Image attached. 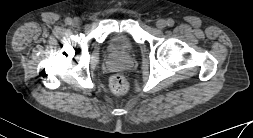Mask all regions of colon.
Listing matches in <instances>:
<instances>
[{
    "label": "colon",
    "instance_id": "obj_1",
    "mask_svg": "<svg viewBox=\"0 0 253 138\" xmlns=\"http://www.w3.org/2000/svg\"><path fill=\"white\" fill-rule=\"evenodd\" d=\"M110 89L117 96L125 95L129 89L127 79L122 74H115L110 78Z\"/></svg>",
    "mask_w": 253,
    "mask_h": 138
}]
</instances>
